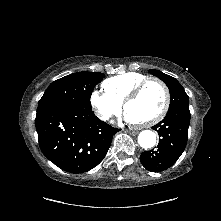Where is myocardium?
<instances>
[{
	"label": "myocardium",
	"mask_w": 221,
	"mask_h": 221,
	"mask_svg": "<svg viewBox=\"0 0 221 221\" xmlns=\"http://www.w3.org/2000/svg\"><path fill=\"white\" fill-rule=\"evenodd\" d=\"M150 83H156L157 85H159L164 95V103L161 110L154 117L143 122H138V123L134 122V124L139 128H147L159 123L166 116L170 106V92L168 87L161 80L157 78H147L143 80L141 83H139L124 99L123 109L126 111L127 105L130 102L137 99L141 94V92L143 91V89Z\"/></svg>",
	"instance_id": "f54148a6"
}]
</instances>
